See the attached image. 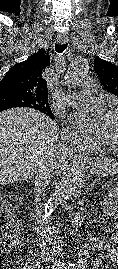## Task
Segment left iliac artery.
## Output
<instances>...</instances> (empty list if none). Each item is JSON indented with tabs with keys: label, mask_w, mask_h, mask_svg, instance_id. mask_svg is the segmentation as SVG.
Returning <instances> with one entry per match:
<instances>
[{
	"label": "left iliac artery",
	"mask_w": 118,
	"mask_h": 269,
	"mask_svg": "<svg viewBox=\"0 0 118 269\" xmlns=\"http://www.w3.org/2000/svg\"><path fill=\"white\" fill-rule=\"evenodd\" d=\"M68 269H78L74 263H68Z\"/></svg>",
	"instance_id": "obj_1"
}]
</instances>
